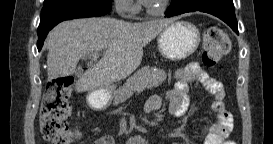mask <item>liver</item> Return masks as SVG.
Returning <instances> with one entry per match:
<instances>
[{
	"label": "liver",
	"instance_id": "obj_1",
	"mask_svg": "<svg viewBox=\"0 0 273 144\" xmlns=\"http://www.w3.org/2000/svg\"><path fill=\"white\" fill-rule=\"evenodd\" d=\"M175 19L129 23L110 17L64 21L47 36V73L52 80L76 71L82 56L105 50L76 84L77 92L112 88L140 65L143 47Z\"/></svg>",
	"mask_w": 273,
	"mask_h": 144
}]
</instances>
